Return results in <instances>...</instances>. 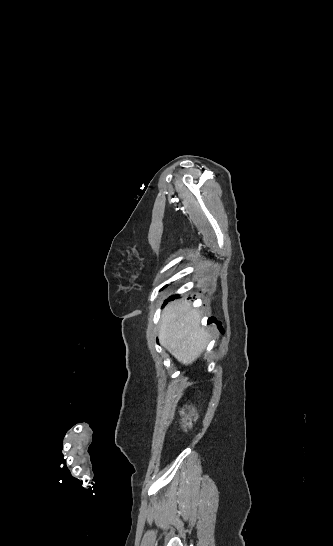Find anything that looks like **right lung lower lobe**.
<instances>
[{
    "mask_svg": "<svg viewBox=\"0 0 333 546\" xmlns=\"http://www.w3.org/2000/svg\"><path fill=\"white\" fill-rule=\"evenodd\" d=\"M167 286H168V285H166L165 287H167ZM174 298H176V296H174V297L170 298L169 300H172V299H174ZM166 302H167V301H166Z\"/></svg>",
    "mask_w": 333,
    "mask_h": 546,
    "instance_id": "obj_1",
    "label": "right lung lower lobe"
}]
</instances>
